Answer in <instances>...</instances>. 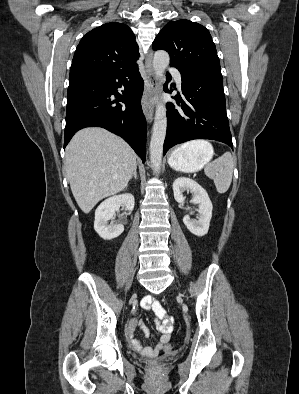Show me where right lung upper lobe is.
<instances>
[{"label":"right lung upper lobe","instance_id":"1","mask_svg":"<svg viewBox=\"0 0 299 394\" xmlns=\"http://www.w3.org/2000/svg\"><path fill=\"white\" fill-rule=\"evenodd\" d=\"M140 57L132 30L123 23L103 24L88 32L75 51L69 80L137 66Z\"/></svg>","mask_w":299,"mask_h":394}]
</instances>
